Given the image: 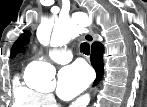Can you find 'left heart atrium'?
Returning a JSON list of instances; mask_svg holds the SVG:
<instances>
[{"label":"left heart atrium","mask_w":147,"mask_h":107,"mask_svg":"<svg viewBox=\"0 0 147 107\" xmlns=\"http://www.w3.org/2000/svg\"><path fill=\"white\" fill-rule=\"evenodd\" d=\"M92 74L82 63H74L62 68L58 74L57 95L69 100L80 94L91 82Z\"/></svg>","instance_id":"39dd6f15"}]
</instances>
